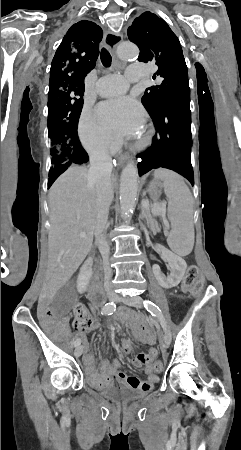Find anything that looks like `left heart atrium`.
Here are the masks:
<instances>
[{
    "mask_svg": "<svg viewBox=\"0 0 241 450\" xmlns=\"http://www.w3.org/2000/svg\"><path fill=\"white\" fill-rule=\"evenodd\" d=\"M94 115L103 127L123 137L134 134L145 117L142 108L130 97L120 98L116 102L99 103Z\"/></svg>",
    "mask_w": 241,
    "mask_h": 450,
    "instance_id": "39dd6f15",
    "label": "left heart atrium"
}]
</instances>
